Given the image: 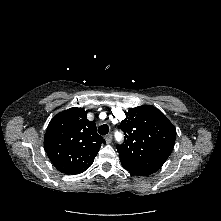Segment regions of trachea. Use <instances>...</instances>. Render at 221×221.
<instances>
[{
    "label": "trachea",
    "mask_w": 221,
    "mask_h": 221,
    "mask_svg": "<svg viewBox=\"0 0 221 221\" xmlns=\"http://www.w3.org/2000/svg\"><path fill=\"white\" fill-rule=\"evenodd\" d=\"M98 132H99V134H101V135H106V134H108V132H109V126L106 125V124L101 125V126L98 128Z\"/></svg>",
    "instance_id": "obj_1"
}]
</instances>
